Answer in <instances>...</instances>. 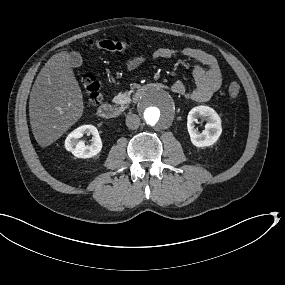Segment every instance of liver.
Segmentation results:
<instances>
[{"label":"liver","instance_id":"1","mask_svg":"<svg viewBox=\"0 0 285 285\" xmlns=\"http://www.w3.org/2000/svg\"><path fill=\"white\" fill-rule=\"evenodd\" d=\"M65 50L42 67L30 93L29 117L38 145L48 147L84 113L83 94Z\"/></svg>","mask_w":285,"mask_h":285}]
</instances>
